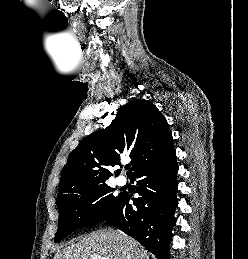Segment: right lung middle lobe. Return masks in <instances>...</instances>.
Wrapping results in <instances>:
<instances>
[{"label": "right lung middle lobe", "mask_w": 248, "mask_h": 259, "mask_svg": "<svg viewBox=\"0 0 248 259\" xmlns=\"http://www.w3.org/2000/svg\"><path fill=\"white\" fill-rule=\"evenodd\" d=\"M106 182L80 186L57 198L59 210L58 243L74 229L95 225L111 218L117 211L124 193L113 194Z\"/></svg>", "instance_id": "dd1d6c3e"}]
</instances>
